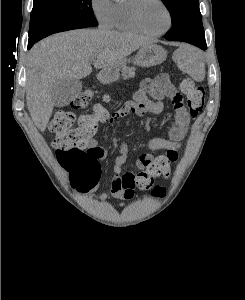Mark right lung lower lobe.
I'll return each mask as SVG.
<instances>
[{"label": "right lung lower lobe", "instance_id": "obj_1", "mask_svg": "<svg viewBox=\"0 0 245 300\" xmlns=\"http://www.w3.org/2000/svg\"><path fill=\"white\" fill-rule=\"evenodd\" d=\"M34 43H28V49H30L32 47Z\"/></svg>", "mask_w": 245, "mask_h": 300}]
</instances>
